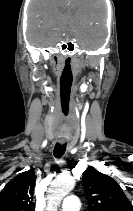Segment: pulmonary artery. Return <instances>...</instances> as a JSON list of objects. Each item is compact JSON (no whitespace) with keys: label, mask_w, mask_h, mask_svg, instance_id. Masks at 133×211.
Listing matches in <instances>:
<instances>
[{"label":"pulmonary artery","mask_w":133,"mask_h":211,"mask_svg":"<svg viewBox=\"0 0 133 211\" xmlns=\"http://www.w3.org/2000/svg\"><path fill=\"white\" fill-rule=\"evenodd\" d=\"M80 209V201L77 196L70 195L67 196L61 205L62 211H79Z\"/></svg>","instance_id":"obj_1"}]
</instances>
